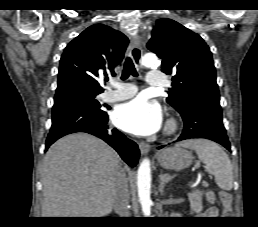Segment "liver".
<instances>
[{"instance_id":"6515ba94","label":"liver","mask_w":258,"mask_h":227,"mask_svg":"<svg viewBox=\"0 0 258 227\" xmlns=\"http://www.w3.org/2000/svg\"><path fill=\"white\" fill-rule=\"evenodd\" d=\"M118 169V154L101 139L86 133L59 139L43 159L42 217L108 215Z\"/></svg>"}]
</instances>
